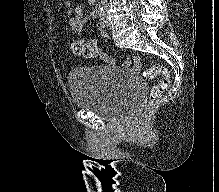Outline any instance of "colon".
Returning <instances> with one entry per match:
<instances>
[{"instance_id":"colon-1","label":"colon","mask_w":219,"mask_h":192,"mask_svg":"<svg viewBox=\"0 0 219 192\" xmlns=\"http://www.w3.org/2000/svg\"><path fill=\"white\" fill-rule=\"evenodd\" d=\"M72 50L75 54L81 55L85 58H101L106 62H113L112 58L108 54L101 52L95 40L76 41L72 46ZM125 64H130V61H126ZM142 75L146 79H153L158 75L162 76L161 80L158 81L151 89L146 106V112L141 120L142 124H144L150 114L155 110L160 97L167 91L170 80L167 69L160 64H155L152 67L145 69L142 72Z\"/></svg>"}]
</instances>
